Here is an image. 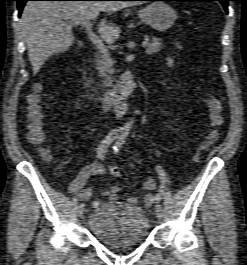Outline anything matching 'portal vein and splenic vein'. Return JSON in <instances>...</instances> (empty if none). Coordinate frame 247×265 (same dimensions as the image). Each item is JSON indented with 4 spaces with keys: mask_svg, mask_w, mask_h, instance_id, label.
<instances>
[{
    "mask_svg": "<svg viewBox=\"0 0 247 265\" xmlns=\"http://www.w3.org/2000/svg\"><path fill=\"white\" fill-rule=\"evenodd\" d=\"M70 24H73V25L82 24L83 27L86 30V33H87L89 39L97 47V49L101 53H103L105 55H108V49H107V47L104 45V43L102 42V40L99 39V37L95 33H93V31H92V24L90 23V20H85V21H71ZM147 46H148V42L144 41L142 43V47L145 48Z\"/></svg>",
    "mask_w": 247,
    "mask_h": 265,
    "instance_id": "18ae733b",
    "label": "portal vein and splenic vein"
}]
</instances>
